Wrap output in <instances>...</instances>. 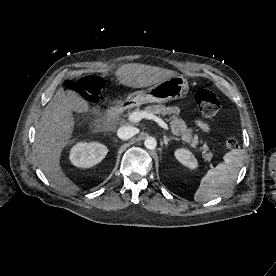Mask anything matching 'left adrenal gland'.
Instances as JSON below:
<instances>
[{
  "mask_svg": "<svg viewBox=\"0 0 276 276\" xmlns=\"http://www.w3.org/2000/svg\"><path fill=\"white\" fill-rule=\"evenodd\" d=\"M163 140H164L165 146L167 147V146H168V143H169L171 140H179V139L176 138V137H170V138H168L166 135H164V136H163Z\"/></svg>",
  "mask_w": 276,
  "mask_h": 276,
  "instance_id": "left-adrenal-gland-1",
  "label": "left adrenal gland"
}]
</instances>
